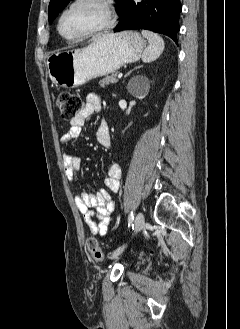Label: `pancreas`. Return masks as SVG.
I'll use <instances>...</instances> for the list:
<instances>
[{
	"mask_svg": "<svg viewBox=\"0 0 240 329\" xmlns=\"http://www.w3.org/2000/svg\"><path fill=\"white\" fill-rule=\"evenodd\" d=\"M116 76H117V73H114V74L107 76L104 79L100 80L99 81L100 86L105 87L111 83H116L117 82Z\"/></svg>",
	"mask_w": 240,
	"mask_h": 329,
	"instance_id": "obj_1",
	"label": "pancreas"
}]
</instances>
